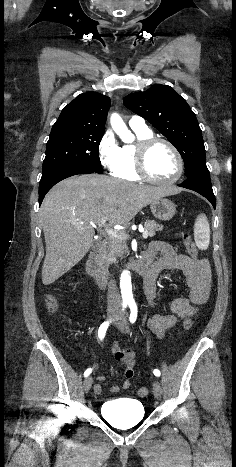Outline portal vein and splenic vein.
Here are the masks:
<instances>
[{"mask_svg": "<svg viewBox=\"0 0 236 467\" xmlns=\"http://www.w3.org/2000/svg\"><path fill=\"white\" fill-rule=\"evenodd\" d=\"M105 223H106V219L103 218V219L100 221L99 226H100V227L105 226ZM104 230H105V232H106L108 235H110L111 237H115V238H119V239H127V238H128V236H127V234H126L125 232H123V231H121V230H119V229H117V228H112V227H107V226H106ZM140 231L142 232V237H143L144 239H146V238L148 237V232H147V230H146V229L144 230V229L142 228Z\"/></svg>", "mask_w": 236, "mask_h": 467, "instance_id": "portal-vein-and-splenic-vein-1", "label": "portal vein and splenic vein"}]
</instances>
